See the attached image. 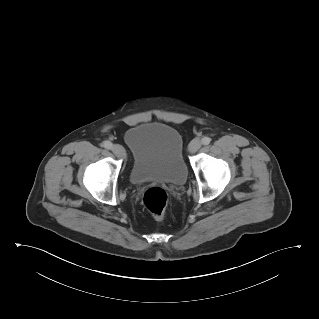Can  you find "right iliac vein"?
<instances>
[{"label":"right iliac vein","mask_w":319,"mask_h":319,"mask_svg":"<svg viewBox=\"0 0 319 319\" xmlns=\"http://www.w3.org/2000/svg\"><path fill=\"white\" fill-rule=\"evenodd\" d=\"M112 151L119 158H124L126 155L124 148L119 144L113 145Z\"/></svg>","instance_id":"obj_1"}]
</instances>
